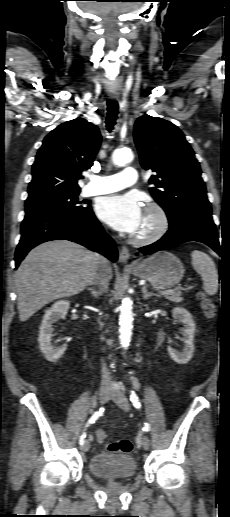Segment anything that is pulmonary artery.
<instances>
[{
  "instance_id": "e3ab8cb5",
  "label": "pulmonary artery",
  "mask_w": 230,
  "mask_h": 517,
  "mask_svg": "<svg viewBox=\"0 0 230 517\" xmlns=\"http://www.w3.org/2000/svg\"><path fill=\"white\" fill-rule=\"evenodd\" d=\"M137 182L136 170L126 167L121 173L108 176H92L84 189L87 196L112 193Z\"/></svg>"
}]
</instances>
